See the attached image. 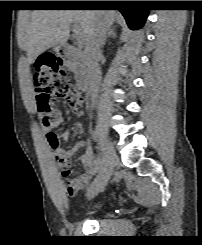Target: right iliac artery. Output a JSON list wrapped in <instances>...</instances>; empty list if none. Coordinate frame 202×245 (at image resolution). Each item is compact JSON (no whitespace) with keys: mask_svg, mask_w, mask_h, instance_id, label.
Listing matches in <instances>:
<instances>
[{"mask_svg":"<svg viewBox=\"0 0 202 245\" xmlns=\"http://www.w3.org/2000/svg\"><path fill=\"white\" fill-rule=\"evenodd\" d=\"M96 135H97V132L91 131V136H92L93 138H95ZM103 162H104V157H103V156H99V157L96 159V161H95L96 167H97L98 169L101 168Z\"/></svg>","mask_w":202,"mask_h":245,"instance_id":"right-iliac-artery-1","label":"right iliac artery"}]
</instances>
